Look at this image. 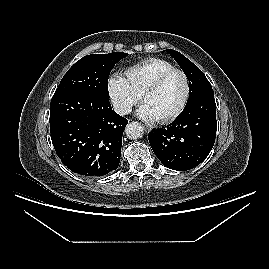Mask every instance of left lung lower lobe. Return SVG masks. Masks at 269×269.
<instances>
[{
    "mask_svg": "<svg viewBox=\"0 0 269 269\" xmlns=\"http://www.w3.org/2000/svg\"><path fill=\"white\" fill-rule=\"evenodd\" d=\"M214 92H206L186 105L166 128L148 134L150 145L161 163L186 171L199 165L210 153L216 136Z\"/></svg>",
    "mask_w": 269,
    "mask_h": 269,
    "instance_id": "left-lung-lower-lobe-1",
    "label": "left lung lower lobe"
}]
</instances>
